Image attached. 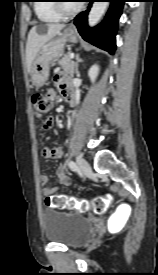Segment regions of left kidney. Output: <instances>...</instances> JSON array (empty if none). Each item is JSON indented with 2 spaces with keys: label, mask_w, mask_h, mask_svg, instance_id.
<instances>
[{
  "label": "left kidney",
  "mask_w": 158,
  "mask_h": 275,
  "mask_svg": "<svg viewBox=\"0 0 158 275\" xmlns=\"http://www.w3.org/2000/svg\"><path fill=\"white\" fill-rule=\"evenodd\" d=\"M99 73V66L98 65H93L88 72V76L92 82L96 79L97 75Z\"/></svg>",
  "instance_id": "1"
}]
</instances>
